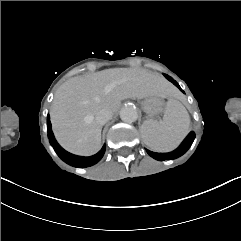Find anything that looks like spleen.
Listing matches in <instances>:
<instances>
[{
	"label": "spleen",
	"instance_id": "1",
	"mask_svg": "<svg viewBox=\"0 0 241 241\" xmlns=\"http://www.w3.org/2000/svg\"><path fill=\"white\" fill-rule=\"evenodd\" d=\"M142 141L155 152H170L176 149L190 132V116L184 105L169 99L163 121L145 120L140 128Z\"/></svg>",
	"mask_w": 241,
	"mask_h": 241
}]
</instances>
